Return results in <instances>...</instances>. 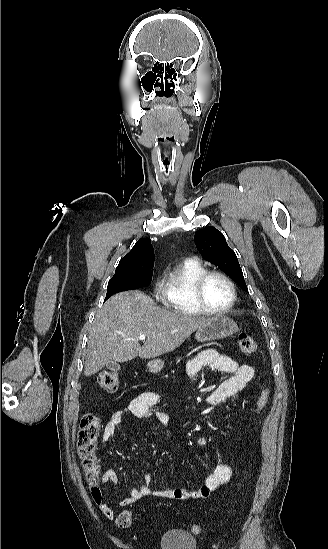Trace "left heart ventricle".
Masks as SVG:
<instances>
[{
  "label": "left heart ventricle",
  "mask_w": 328,
  "mask_h": 549,
  "mask_svg": "<svg viewBox=\"0 0 328 549\" xmlns=\"http://www.w3.org/2000/svg\"><path fill=\"white\" fill-rule=\"evenodd\" d=\"M206 300L203 307L219 311L224 309L231 301L232 293L229 284L219 276L210 277L204 287Z\"/></svg>",
  "instance_id": "left-heart-ventricle-1"
}]
</instances>
